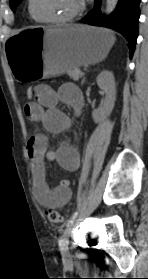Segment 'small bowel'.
Listing matches in <instances>:
<instances>
[{
  "mask_svg": "<svg viewBox=\"0 0 148 279\" xmlns=\"http://www.w3.org/2000/svg\"><path fill=\"white\" fill-rule=\"evenodd\" d=\"M35 88V99L24 107L26 117L33 123H42L51 133L58 134L68 130L71 119L58 108L57 104L62 102L78 111L82 106L79 89L73 84H65L57 91L44 84ZM27 152L32 162L33 192L36 200L47 208L66 205L72 195L70 181L64 179L55 186H50L45 177L44 163L45 160L56 161L62 168L74 171L80 164L77 150L68 143L62 144L57 150H49L47 138L38 134L29 139Z\"/></svg>",
  "mask_w": 148,
  "mask_h": 279,
  "instance_id": "obj_1",
  "label": "small bowel"
}]
</instances>
